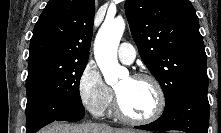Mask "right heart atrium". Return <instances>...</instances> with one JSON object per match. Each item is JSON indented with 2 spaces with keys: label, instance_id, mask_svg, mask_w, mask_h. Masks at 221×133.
<instances>
[{
  "label": "right heart atrium",
  "instance_id": "d8ad5b80",
  "mask_svg": "<svg viewBox=\"0 0 221 133\" xmlns=\"http://www.w3.org/2000/svg\"><path fill=\"white\" fill-rule=\"evenodd\" d=\"M77 91L81 104L93 115L106 113L114 100L112 89L106 85L93 63H88L83 68L78 79Z\"/></svg>",
  "mask_w": 221,
  "mask_h": 133
}]
</instances>
